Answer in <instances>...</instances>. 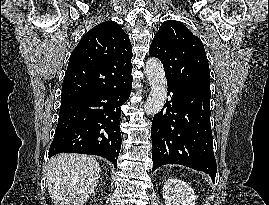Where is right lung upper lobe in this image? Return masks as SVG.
<instances>
[{"label":"right lung upper lobe","mask_w":269,"mask_h":205,"mask_svg":"<svg viewBox=\"0 0 269 205\" xmlns=\"http://www.w3.org/2000/svg\"><path fill=\"white\" fill-rule=\"evenodd\" d=\"M132 46L113 21L88 31L73 50L63 80L61 100L115 88L132 70Z\"/></svg>","instance_id":"obj_1"}]
</instances>
